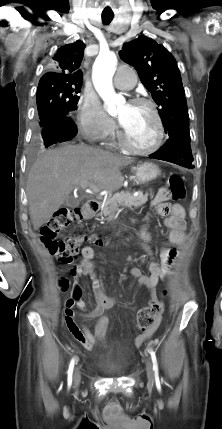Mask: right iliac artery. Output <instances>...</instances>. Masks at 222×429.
Listing matches in <instances>:
<instances>
[{"label": "right iliac artery", "instance_id": "right-iliac-artery-1", "mask_svg": "<svg viewBox=\"0 0 222 429\" xmlns=\"http://www.w3.org/2000/svg\"><path fill=\"white\" fill-rule=\"evenodd\" d=\"M74 364H75V359L72 358V360H71V362L69 364L68 371H67V374H68V378H67L68 387H71V385H72V375H73Z\"/></svg>", "mask_w": 222, "mask_h": 429}]
</instances>
